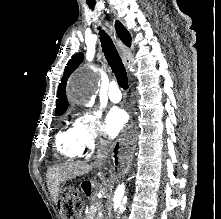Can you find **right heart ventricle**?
Wrapping results in <instances>:
<instances>
[{"instance_id":"right-heart-ventricle-1","label":"right heart ventricle","mask_w":221,"mask_h":219,"mask_svg":"<svg viewBox=\"0 0 221 219\" xmlns=\"http://www.w3.org/2000/svg\"><path fill=\"white\" fill-rule=\"evenodd\" d=\"M56 147L58 152L67 159L77 158L83 153L73 126L58 133Z\"/></svg>"}]
</instances>
